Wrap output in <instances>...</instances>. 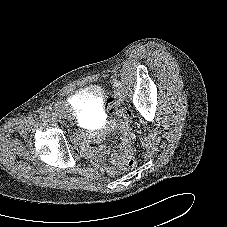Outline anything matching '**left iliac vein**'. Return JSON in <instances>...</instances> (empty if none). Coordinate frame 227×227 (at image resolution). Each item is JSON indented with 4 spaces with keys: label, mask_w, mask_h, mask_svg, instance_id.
Listing matches in <instances>:
<instances>
[{
    "label": "left iliac vein",
    "mask_w": 227,
    "mask_h": 227,
    "mask_svg": "<svg viewBox=\"0 0 227 227\" xmlns=\"http://www.w3.org/2000/svg\"><path fill=\"white\" fill-rule=\"evenodd\" d=\"M116 93L120 99L124 100V95L122 94V92L119 89L116 90Z\"/></svg>",
    "instance_id": "4c4485c4"
}]
</instances>
